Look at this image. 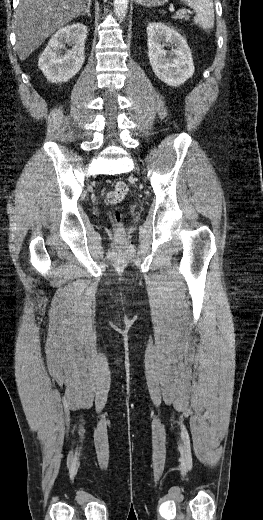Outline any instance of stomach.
<instances>
[{
    "mask_svg": "<svg viewBox=\"0 0 263 520\" xmlns=\"http://www.w3.org/2000/svg\"><path fill=\"white\" fill-rule=\"evenodd\" d=\"M136 3L143 6H161L169 0H135Z\"/></svg>",
    "mask_w": 263,
    "mask_h": 520,
    "instance_id": "obj_1",
    "label": "stomach"
}]
</instances>
